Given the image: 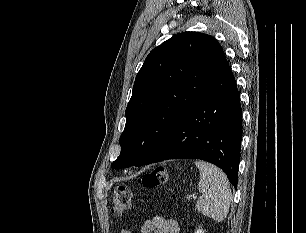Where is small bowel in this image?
<instances>
[{
    "label": "small bowel",
    "mask_w": 306,
    "mask_h": 233,
    "mask_svg": "<svg viewBox=\"0 0 306 233\" xmlns=\"http://www.w3.org/2000/svg\"><path fill=\"white\" fill-rule=\"evenodd\" d=\"M120 233L132 232L129 229H122ZM140 233H180V226L174 219L156 216L143 223Z\"/></svg>",
    "instance_id": "obj_1"
}]
</instances>
